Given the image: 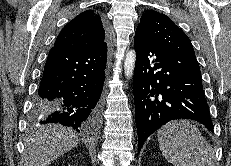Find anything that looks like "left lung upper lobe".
<instances>
[{
    "mask_svg": "<svg viewBox=\"0 0 231 166\" xmlns=\"http://www.w3.org/2000/svg\"><path fill=\"white\" fill-rule=\"evenodd\" d=\"M136 32L159 47L195 55L188 36L168 16L157 11H146Z\"/></svg>",
    "mask_w": 231,
    "mask_h": 166,
    "instance_id": "5c2ea615",
    "label": "left lung upper lobe"
}]
</instances>
